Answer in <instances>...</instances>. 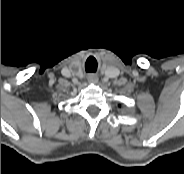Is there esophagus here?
Here are the masks:
<instances>
[{
    "instance_id": "esophagus-1",
    "label": "esophagus",
    "mask_w": 184,
    "mask_h": 174,
    "mask_svg": "<svg viewBox=\"0 0 184 174\" xmlns=\"http://www.w3.org/2000/svg\"><path fill=\"white\" fill-rule=\"evenodd\" d=\"M88 81L91 83H96L98 81V78L95 75H89Z\"/></svg>"
}]
</instances>
